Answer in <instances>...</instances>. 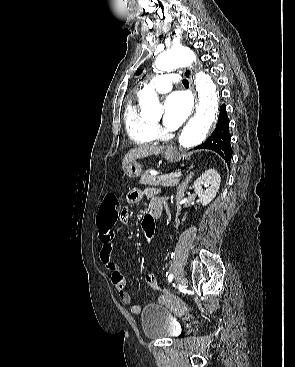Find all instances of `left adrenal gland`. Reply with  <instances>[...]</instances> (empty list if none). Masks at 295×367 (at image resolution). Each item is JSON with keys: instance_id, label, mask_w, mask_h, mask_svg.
<instances>
[{"instance_id": "a2214340", "label": "left adrenal gland", "mask_w": 295, "mask_h": 367, "mask_svg": "<svg viewBox=\"0 0 295 367\" xmlns=\"http://www.w3.org/2000/svg\"><path fill=\"white\" fill-rule=\"evenodd\" d=\"M193 172L191 171L189 173V175L187 176L186 180L184 181V183L182 185L178 186V192L184 191V189L187 187L189 181L191 180L192 176H193Z\"/></svg>"}]
</instances>
